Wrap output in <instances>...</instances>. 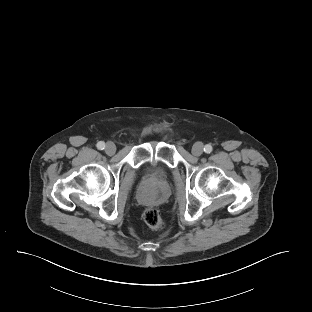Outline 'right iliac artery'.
Wrapping results in <instances>:
<instances>
[{"label":"right iliac artery","mask_w":312,"mask_h":312,"mask_svg":"<svg viewBox=\"0 0 312 312\" xmlns=\"http://www.w3.org/2000/svg\"><path fill=\"white\" fill-rule=\"evenodd\" d=\"M97 148H98L99 150H103V149L105 148V143L102 142V141L98 142V143H97Z\"/></svg>","instance_id":"obj_1"}]
</instances>
